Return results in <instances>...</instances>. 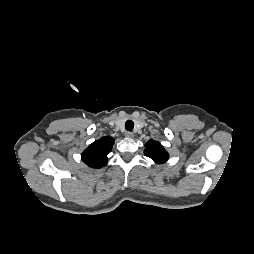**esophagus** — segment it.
I'll use <instances>...</instances> for the list:
<instances>
[{
	"label": "esophagus",
	"mask_w": 254,
	"mask_h": 254,
	"mask_svg": "<svg viewBox=\"0 0 254 254\" xmlns=\"http://www.w3.org/2000/svg\"><path fill=\"white\" fill-rule=\"evenodd\" d=\"M125 136H126L127 138H133V137H134V134H133L132 132L127 131V132H125Z\"/></svg>",
	"instance_id": "esophagus-1"
}]
</instances>
